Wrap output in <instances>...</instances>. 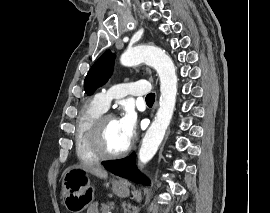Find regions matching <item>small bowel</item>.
I'll return each instance as SVG.
<instances>
[{
    "label": "small bowel",
    "instance_id": "small-bowel-1",
    "mask_svg": "<svg viewBox=\"0 0 270 213\" xmlns=\"http://www.w3.org/2000/svg\"><path fill=\"white\" fill-rule=\"evenodd\" d=\"M87 213H98L97 204L95 203L91 204L87 209Z\"/></svg>",
    "mask_w": 270,
    "mask_h": 213
}]
</instances>
